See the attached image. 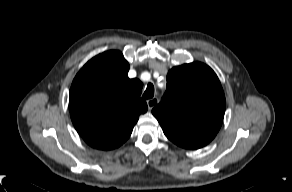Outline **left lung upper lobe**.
Wrapping results in <instances>:
<instances>
[{
  "label": "left lung upper lobe",
  "instance_id": "1",
  "mask_svg": "<svg viewBox=\"0 0 292 192\" xmlns=\"http://www.w3.org/2000/svg\"><path fill=\"white\" fill-rule=\"evenodd\" d=\"M225 104L217 75L209 66L194 62L168 72L166 92L152 113L169 140L194 150L216 136Z\"/></svg>",
  "mask_w": 292,
  "mask_h": 192
}]
</instances>
